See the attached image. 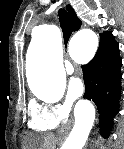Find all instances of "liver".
Listing matches in <instances>:
<instances>
[{"label": "liver", "instance_id": "obj_1", "mask_svg": "<svg viewBox=\"0 0 124 149\" xmlns=\"http://www.w3.org/2000/svg\"><path fill=\"white\" fill-rule=\"evenodd\" d=\"M26 140L32 149H52L56 145V140L52 134L30 135Z\"/></svg>", "mask_w": 124, "mask_h": 149}]
</instances>
